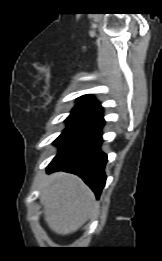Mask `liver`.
Returning a JSON list of instances; mask_svg holds the SVG:
<instances>
[{
  "label": "liver",
  "instance_id": "6515ba94",
  "mask_svg": "<svg viewBox=\"0 0 162 261\" xmlns=\"http://www.w3.org/2000/svg\"><path fill=\"white\" fill-rule=\"evenodd\" d=\"M40 201L49 228L67 235L78 230L95 212V196L77 176L57 172L41 186Z\"/></svg>",
  "mask_w": 162,
  "mask_h": 261
}]
</instances>
